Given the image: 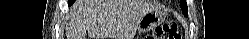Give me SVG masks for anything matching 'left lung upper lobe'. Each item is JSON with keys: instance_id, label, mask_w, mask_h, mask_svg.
<instances>
[{"instance_id": "1", "label": "left lung upper lobe", "mask_w": 249, "mask_h": 39, "mask_svg": "<svg viewBox=\"0 0 249 39\" xmlns=\"http://www.w3.org/2000/svg\"><path fill=\"white\" fill-rule=\"evenodd\" d=\"M180 4H181L182 12L184 13V15H187L188 14V9H187V5H186L185 0H181Z\"/></svg>"}]
</instances>
